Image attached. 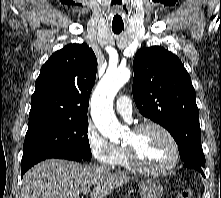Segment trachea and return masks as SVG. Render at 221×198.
<instances>
[{
  "mask_svg": "<svg viewBox=\"0 0 221 198\" xmlns=\"http://www.w3.org/2000/svg\"><path fill=\"white\" fill-rule=\"evenodd\" d=\"M124 27H112V30L115 34H120Z\"/></svg>",
  "mask_w": 221,
  "mask_h": 198,
  "instance_id": "obj_1",
  "label": "trachea"
}]
</instances>
